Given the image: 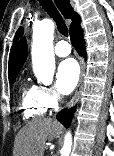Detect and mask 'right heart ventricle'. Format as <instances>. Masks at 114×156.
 <instances>
[{
	"instance_id": "obj_1",
	"label": "right heart ventricle",
	"mask_w": 114,
	"mask_h": 156,
	"mask_svg": "<svg viewBox=\"0 0 114 156\" xmlns=\"http://www.w3.org/2000/svg\"><path fill=\"white\" fill-rule=\"evenodd\" d=\"M20 107L25 119L41 117L47 107L40 97L39 86L24 83L21 87Z\"/></svg>"
}]
</instances>
